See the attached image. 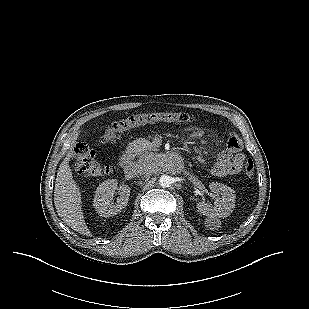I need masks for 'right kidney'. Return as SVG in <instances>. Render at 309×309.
Returning <instances> with one entry per match:
<instances>
[{
	"label": "right kidney",
	"instance_id": "1",
	"mask_svg": "<svg viewBox=\"0 0 309 309\" xmlns=\"http://www.w3.org/2000/svg\"><path fill=\"white\" fill-rule=\"evenodd\" d=\"M117 189L118 182L116 179L104 181L97 187L93 206L100 216L106 218L114 216L127 206L130 196V187L128 185L120 187V198H118L114 204L111 201Z\"/></svg>",
	"mask_w": 309,
	"mask_h": 309
}]
</instances>
